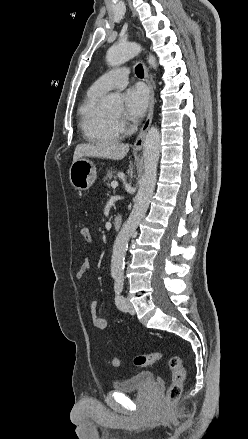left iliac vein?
<instances>
[{"instance_id": "left-iliac-vein-1", "label": "left iliac vein", "mask_w": 248, "mask_h": 439, "mask_svg": "<svg viewBox=\"0 0 248 439\" xmlns=\"http://www.w3.org/2000/svg\"><path fill=\"white\" fill-rule=\"evenodd\" d=\"M125 301H126V305H127V311L131 314H134L135 309H134V306L132 305V303L130 302V300L127 298V299H125Z\"/></svg>"}]
</instances>
